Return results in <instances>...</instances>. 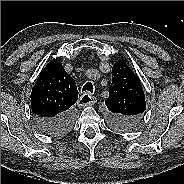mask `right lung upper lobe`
<instances>
[{"mask_svg":"<svg viewBox=\"0 0 184 184\" xmlns=\"http://www.w3.org/2000/svg\"><path fill=\"white\" fill-rule=\"evenodd\" d=\"M78 99L72 77L61 63L49 62L40 73L31 93V110L35 118H55L70 111Z\"/></svg>","mask_w":184,"mask_h":184,"instance_id":"cb5924a9","label":"right lung upper lobe"}]
</instances>
